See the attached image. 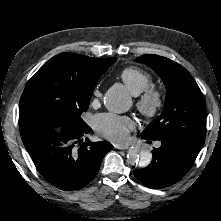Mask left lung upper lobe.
I'll use <instances>...</instances> for the list:
<instances>
[{
    "label": "left lung upper lobe",
    "instance_id": "1",
    "mask_svg": "<svg viewBox=\"0 0 221 221\" xmlns=\"http://www.w3.org/2000/svg\"><path fill=\"white\" fill-rule=\"evenodd\" d=\"M135 61L150 66L167 90L162 114L141 136L150 140L178 141L200 151L206 134V103L191 74L178 63L158 55H143Z\"/></svg>",
    "mask_w": 221,
    "mask_h": 221
}]
</instances>
